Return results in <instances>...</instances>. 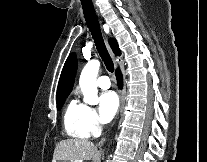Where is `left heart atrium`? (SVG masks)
<instances>
[{
  "label": "left heart atrium",
  "instance_id": "obj_1",
  "mask_svg": "<svg viewBox=\"0 0 207 162\" xmlns=\"http://www.w3.org/2000/svg\"><path fill=\"white\" fill-rule=\"evenodd\" d=\"M119 108V98L114 91H108L100 96L99 114L101 121L110 122Z\"/></svg>",
  "mask_w": 207,
  "mask_h": 162
}]
</instances>
